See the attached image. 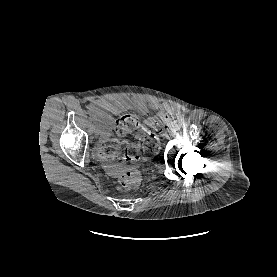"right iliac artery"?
<instances>
[{
  "mask_svg": "<svg viewBox=\"0 0 277 277\" xmlns=\"http://www.w3.org/2000/svg\"><path fill=\"white\" fill-rule=\"evenodd\" d=\"M91 120L93 121V123H92V127H93V128H97V127H98V123H97V121H96V120H94L93 118H91Z\"/></svg>",
  "mask_w": 277,
  "mask_h": 277,
  "instance_id": "obj_1",
  "label": "right iliac artery"
}]
</instances>
